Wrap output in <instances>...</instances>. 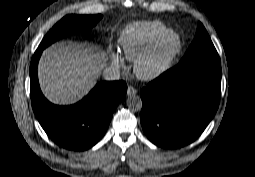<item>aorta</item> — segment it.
Wrapping results in <instances>:
<instances>
[{"instance_id":"aorta-1","label":"aorta","mask_w":255,"mask_h":177,"mask_svg":"<svg viewBox=\"0 0 255 177\" xmlns=\"http://www.w3.org/2000/svg\"><path fill=\"white\" fill-rule=\"evenodd\" d=\"M126 104L131 111H140L142 109V100L139 96L128 97Z\"/></svg>"}]
</instances>
